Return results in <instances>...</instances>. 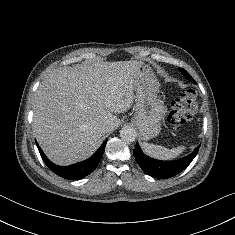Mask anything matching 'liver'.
I'll list each match as a JSON object with an SVG mask.
<instances>
[{"mask_svg":"<svg viewBox=\"0 0 235 235\" xmlns=\"http://www.w3.org/2000/svg\"><path fill=\"white\" fill-rule=\"evenodd\" d=\"M142 62H94L46 76L34 97L33 131L47 157L70 165L90 157L130 109ZM106 129H102L103 125Z\"/></svg>","mask_w":235,"mask_h":235,"instance_id":"6515ba94","label":"liver"}]
</instances>
